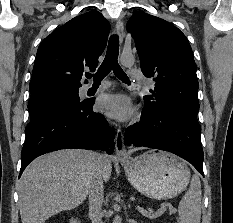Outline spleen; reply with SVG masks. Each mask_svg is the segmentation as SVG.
<instances>
[{
	"label": "spleen",
	"mask_w": 233,
	"mask_h": 223,
	"mask_svg": "<svg viewBox=\"0 0 233 223\" xmlns=\"http://www.w3.org/2000/svg\"><path fill=\"white\" fill-rule=\"evenodd\" d=\"M201 199L200 177L194 173V175H192L190 187L179 203V223H200Z\"/></svg>",
	"instance_id": "3e777b00"
}]
</instances>
